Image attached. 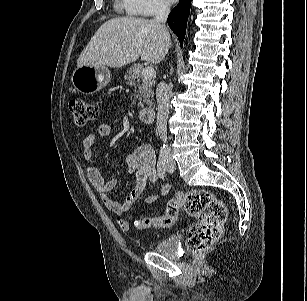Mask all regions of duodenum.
<instances>
[{
    "label": "duodenum",
    "mask_w": 307,
    "mask_h": 301,
    "mask_svg": "<svg viewBox=\"0 0 307 301\" xmlns=\"http://www.w3.org/2000/svg\"><path fill=\"white\" fill-rule=\"evenodd\" d=\"M139 121L142 124H151L154 121L155 110L152 107H146L140 110Z\"/></svg>",
    "instance_id": "1"
}]
</instances>
